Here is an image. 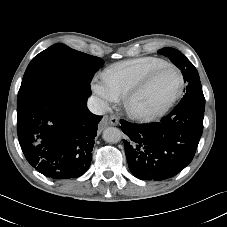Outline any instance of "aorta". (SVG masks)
<instances>
[{
	"instance_id": "obj_1",
	"label": "aorta",
	"mask_w": 227,
	"mask_h": 227,
	"mask_svg": "<svg viewBox=\"0 0 227 227\" xmlns=\"http://www.w3.org/2000/svg\"><path fill=\"white\" fill-rule=\"evenodd\" d=\"M102 137L108 143H117L122 138V132L116 127H108L103 131Z\"/></svg>"
}]
</instances>
